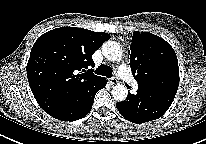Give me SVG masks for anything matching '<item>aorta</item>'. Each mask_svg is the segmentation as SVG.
Instances as JSON below:
<instances>
[{
    "label": "aorta",
    "instance_id": "1",
    "mask_svg": "<svg viewBox=\"0 0 206 144\" xmlns=\"http://www.w3.org/2000/svg\"><path fill=\"white\" fill-rule=\"evenodd\" d=\"M102 53L110 61H119L122 56V49L115 41H106L102 45ZM113 98L118 101H124L128 96V90L124 84H116L112 89Z\"/></svg>",
    "mask_w": 206,
    "mask_h": 144
}]
</instances>
